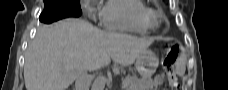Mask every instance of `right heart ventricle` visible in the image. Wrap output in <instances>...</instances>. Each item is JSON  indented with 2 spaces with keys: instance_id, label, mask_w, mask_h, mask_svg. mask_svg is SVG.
I'll return each mask as SVG.
<instances>
[{
  "instance_id": "right-heart-ventricle-1",
  "label": "right heart ventricle",
  "mask_w": 228,
  "mask_h": 90,
  "mask_svg": "<svg viewBox=\"0 0 228 90\" xmlns=\"http://www.w3.org/2000/svg\"><path fill=\"white\" fill-rule=\"evenodd\" d=\"M151 8L142 0H109L101 11L104 27L145 34L149 32L148 13Z\"/></svg>"
}]
</instances>
